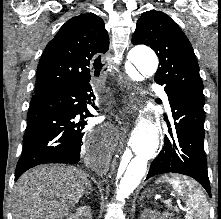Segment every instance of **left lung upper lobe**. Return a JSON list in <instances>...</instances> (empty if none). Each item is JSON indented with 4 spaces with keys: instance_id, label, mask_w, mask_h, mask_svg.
Here are the masks:
<instances>
[{
    "instance_id": "5c2ea615",
    "label": "left lung upper lobe",
    "mask_w": 221,
    "mask_h": 219,
    "mask_svg": "<svg viewBox=\"0 0 221 219\" xmlns=\"http://www.w3.org/2000/svg\"><path fill=\"white\" fill-rule=\"evenodd\" d=\"M134 45L150 46L158 55L156 83L169 96L181 97L204 106L203 83L193 48L180 27L165 13H142L132 36Z\"/></svg>"
}]
</instances>
